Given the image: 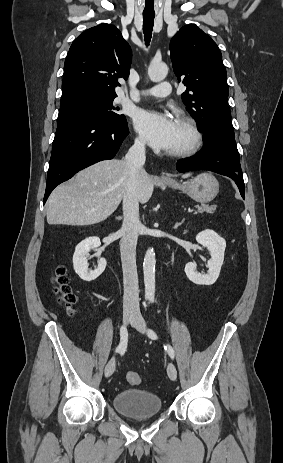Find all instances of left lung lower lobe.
I'll return each instance as SVG.
<instances>
[{
    "instance_id": "left-lung-lower-lobe-1",
    "label": "left lung lower lobe",
    "mask_w": 283,
    "mask_h": 463,
    "mask_svg": "<svg viewBox=\"0 0 283 463\" xmlns=\"http://www.w3.org/2000/svg\"><path fill=\"white\" fill-rule=\"evenodd\" d=\"M179 172L209 170L233 179L244 198V181L239 161V153L219 142H204L201 152L193 157L178 161Z\"/></svg>"
}]
</instances>
